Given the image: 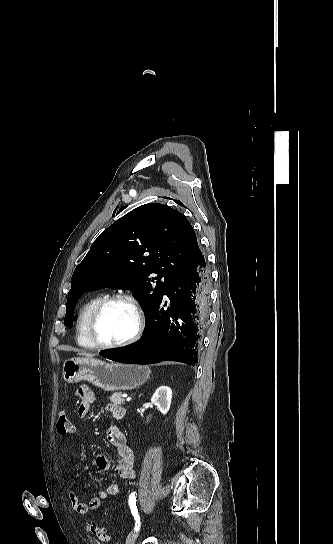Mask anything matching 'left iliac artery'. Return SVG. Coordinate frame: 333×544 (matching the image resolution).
Here are the masks:
<instances>
[{"mask_svg":"<svg viewBox=\"0 0 333 544\" xmlns=\"http://www.w3.org/2000/svg\"><path fill=\"white\" fill-rule=\"evenodd\" d=\"M129 506H130L131 513H132V515L134 517V520H135L134 530L138 531V529L140 527V517H139L137 506H136V493L135 492L131 493L130 496H129Z\"/></svg>","mask_w":333,"mask_h":544,"instance_id":"44dca946","label":"left iliac artery"}]
</instances>
